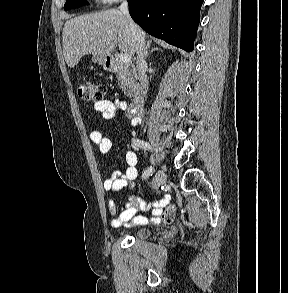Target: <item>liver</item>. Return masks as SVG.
Wrapping results in <instances>:
<instances>
[{
    "label": "liver",
    "instance_id": "obj_1",
    "mask_svg": "<svg viewBox=\"0 0 288 293\" xmlns=\"http://www.w3.org/2000/svg\"><path fill=\"white\" fill-rule=\"evenodd\" d=\"M142 37L146 34L141 30ZM63 54L68 67L76 66L85 55L110 56L119 47L136 53L135 41L126 18L116 9L101 10L71 18L62 32Z\"/></svg>",
    "mask_w": 288,
    "mask_h": 293
}]
</instances>
